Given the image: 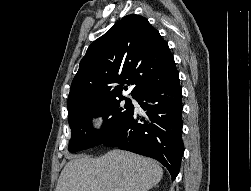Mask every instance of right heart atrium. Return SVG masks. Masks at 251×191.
Returning a JSON list of instances; mask_svg holds the SVG:
<instances>
[{
  "instance_id": "obj_1",
  "label": "right heart atrium",
  "mask_w": 251,
  "mask_h": 191,
  "mask_svg": "<svg viewBox=\"0 0 251 191\" xmlns=\"http://www.w3.org/2000/svg\"><path fill=\"white\" fill-rule=\"evenodd\" d=\"M89 128L93 135L102 136L108 127V117L101 111H92L88 116Z\"/></svg>"
}]
</instances>
